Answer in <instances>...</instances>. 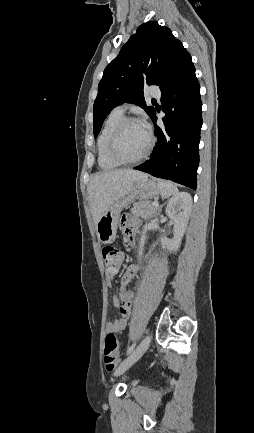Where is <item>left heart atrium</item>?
Segmentation results:
<instances>
[{
	"label": "left heart atrium",
	"mask_w": 254,
	"mask_h": 433,
	"mask_svg": "<svg viewBox=\"0 0 254 433\" xmlns=\"http://www.w3.org/2000/svg\"><path fill=\"white\" fill-rule=\"evenodd\" d=\"M139 123H140V125L142 126V128H143L146 132H148V124H147V122H146L145 120H142V121H140Z\"/></svg>",
	"instance_id": "39dd6f15"
}]
</instances>
